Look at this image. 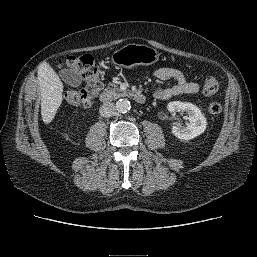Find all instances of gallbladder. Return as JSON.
<instances>
[{
	"label": "gallbladder",
	"mask_w": 257,
	"mask_h": 257,
	"mask_svg": "<svg viewBox=\"0 0 257 257\" xmlns=\"http://www.w3.org/2000/svg\"><path fill=\"white\" fill-rule=\"evenodd\" d=\"M61 78L64 82L72 87H78L82 83V77L75 69H62L60 72Z\"/></svg>",
	"instance_id": "1"
}]
</instances>
